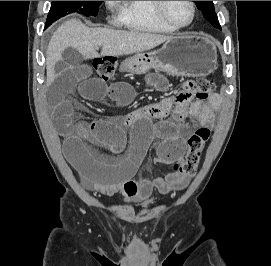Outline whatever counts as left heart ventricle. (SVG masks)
<instances>
[{"mask_svg":"<svg viewBox=\"0 0 271 266\" xmlns=\"http://www.w3.org/2000/svg\"><path fill=\"white\" fill-rule=\"evenodd\" d=\"M165 12L176 24H187L192 16V8L188 1H165Z\"/></svg>","mask_w":271,"mask_h":266,"instance_id":"b2bd125f","label":"left heart ventricle"}]
</instances>
